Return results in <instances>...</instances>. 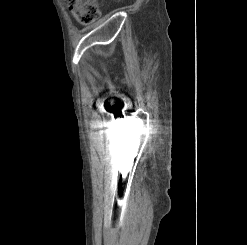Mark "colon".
I'll list each match as a JSON object with an SVG mask.
<instances>
[{
	"instance_id": "obj_1",
	"label": "colon",
	"mask_w": 247,
	"mask_h": 245,
	"mask_svg": "<svg viewBox=\"0 0 247 245\" xmlns=\"http://www.w3.org/2000/svg\"><path fill=\"white\" fill-rule=\"evenodd\" d=\"M74 18L83 25L96 21L100 15L98 0H64Z\"/></svg>"
}]
</instances>
